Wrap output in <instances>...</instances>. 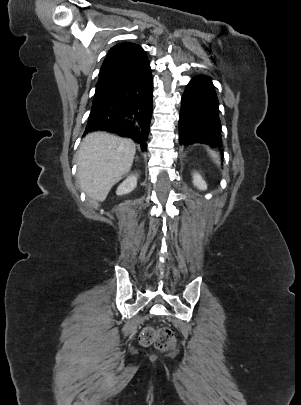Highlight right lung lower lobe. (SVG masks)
<instances>
[{
	"label": "right lung lower lobe",
	"instance_id": "98d812e1",
	"mask_svg": "<svg viewBox=\"0 0 301 405\" xmlns=\"http://www.w3.org/2000/svg\"><path fill=\"white\" fill-rule=\"evenodd\" d=\"M153 79L146 59L123 82L92 105L84 135L108 131L127 136L147 149L152 116Z\"/></svg>",
	"mask_w": 301,
	"mask_h": 405
}]
</instances>
